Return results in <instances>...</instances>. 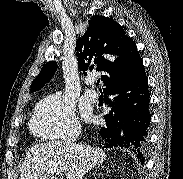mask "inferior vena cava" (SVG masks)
Segmentation results:
<instances>
[{
  "mask_svg": "<svg viewBox=\"0 0 183 179\" xmlns=\"http://www.w3.org/2000/svg\"><path fill=\"white\" fill-rule=\"evenodd\" d=\"M79 134H80L79 131H75V132H72V133L66 135L63 139L64 146L67 148L74 147V145H75L74 142L77 139V137L79 136Z\"/></svg>",
  "mask_w": 183,
  "mask_h": 179,
  "instance_id": "602c4592",
  "label": "inferior vena cava"
}]
</instances>
